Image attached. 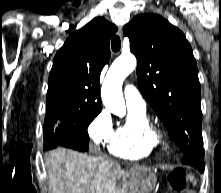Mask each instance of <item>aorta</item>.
<instances>
[{
    "label": "aorta",
    "instance_id": "obj_1",
    "mask_svg": "<svg viewBox=\"0 0 221 193\" xmlns=\"http://www.w3.org/2000/svg\"><path fill=\"white\" fill-rule=\"evenodd\" d=\"M133 55L120 56L110 66L103 81L101 97L105 107L114 115L124 117L126 106L122 93L124 79L136 68Z\"/></svg>",
    "mask_w": 221,
    "mask_h": 193
}]
</instances>
